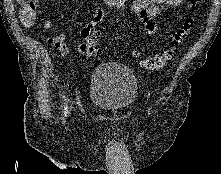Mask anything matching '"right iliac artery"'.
Listing matches in <instances>:
<instances>
[{
	"instance_id": "right-iliac-artery-1",
	"label": "right iliac artery",
	"mask_w": 221,
	"mask_h": 174,
	"mask_svg": "<svg viewBox=\"0 0 221 174\" xmlns=\"http://www.w3.org/2000/svg\"><path fill=\"white\" fill-rule=\"evenodd\" d=\"M64 108H65V109H64V110H65L64 113H65V115H66V114H67V106H65Z\"/></svg>"
}]
</instances>
